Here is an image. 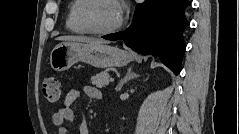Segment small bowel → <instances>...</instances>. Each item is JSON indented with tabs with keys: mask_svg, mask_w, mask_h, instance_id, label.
<instances>
[{
	"mask_svg": "<svg viewBox=\"0 0 239 134\" xmlns=\"http://www.w3.org/2000/svg\"><path fill=\"white\" fill-rule=\"evenodd\" d=\"M85 94L92 98L100 100L102 99L101 91L93 86H86L84 88ZM81 91L78 89L70 90L62 106L52 115L53 124L59 128V134H70L69 130L64 126L66 122H72L75 119V112L73 104L80 98ZM79 134H88V129L85 122L79 124Z\"/></svg>",
	"mask_w": 239,
	"mask_h": 134,
	"instance_id": "small-bowel-1",
	"label": "small bowel"
}]
</instances>
